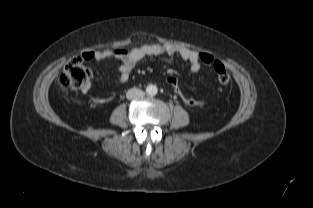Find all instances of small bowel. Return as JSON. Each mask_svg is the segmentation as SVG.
Instances as JSON below:
<instances>
[{"mask_svg": "<svg viewBox=\"0 0 313 208\" xmlns=\"http://www.w3.org/2000/svg\"><path fill=\"white\" fill-rule=\"evenodd\" d=\"M166 56L170 60L175 57H180L182 60L189 63L190 72L195 74L201 69L202 62L199 58V52L188 48H177L171 45L159 44H143L132 49H115V50H99L84 53L86 60L104 61L116 59L120 62L118 66L119 82L128 81L134 66L142 59L150 56ZM89 86L82 89L86 92Z\"/></svg>", "mask_w": 313, "mask_h": 208, "instance_id": "obj_1", "label": "small bowel"}]
</instances>
